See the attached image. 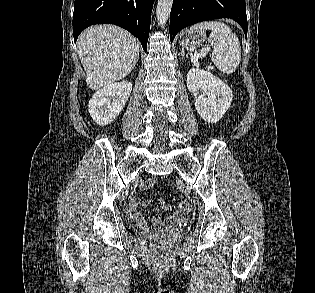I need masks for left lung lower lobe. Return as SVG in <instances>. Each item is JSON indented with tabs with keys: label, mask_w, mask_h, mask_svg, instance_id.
Here are the masks:
<instances>
[{
	"label": "left lung lower lobe",
	"mask_w": 315,
	"mask_h": 293,
	"mask_svg": "<svg viewBox=\"0 0 315 293\" xmlns=\"http://www.w3.org/2000/svg\"><path fill=\"white\" fill-rule=\"evenodd\" d=\"M218 18H231L241 25L247 36L244 0H173L170 14V40L183 28Z\"/></svg>",
	"instance_id": "0a47b994"
}]
</instances>
